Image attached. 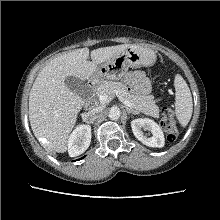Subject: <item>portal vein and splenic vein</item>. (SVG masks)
I'll use <instances>...</instances> for the list:
<instances>
[{
  "mask_svg": "<svg viewBox=\"0 0 220 220\" xmlns=\"http://www.w3.org/2000/svg\"><path fill=\"white\" fill-rule=\"evenodd\" d=\"M98 99H99L100 103H107V102H109V101L112 100V97L109 96V95H107V94H101V95H99ZM119 99H120L121 102H123V104H125L126 106H128V107H133L132 103L129 102L128 100L123 99V98H121V97H119Z\"/></svg>",
  "mask_w": 220,
  "mask_h": 220,
  "instance_id": "18ae733b",
  "label": "portal vein and splenic vein"
}]
</instances>
